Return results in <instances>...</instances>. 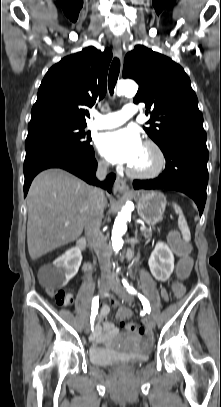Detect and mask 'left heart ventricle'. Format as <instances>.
Wrapping results in <instances>:
<instances>
[{"instance_id":"left-heart-ventricle-1","label":"left heart ventricle","mask_w":221,"mask_h":407,"mask_svg":"<svg viewBox=\"0 0 221 407\" xmlns=\"http://www.w3.org/2000/svg\"><path fill=\"white\" fill-rule=\"evenodd\" d=\"M157 164V157L152 149L142 146L136 160L130 165L134 170L146 172L152 170Z\"/></svg>"}]
</instances>
